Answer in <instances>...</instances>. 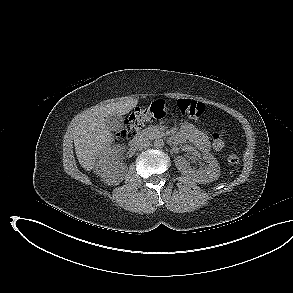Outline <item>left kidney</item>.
<instances>
[{"label": "left kidney", "instance_id": "left-kidney-1", "mask_svg": "<svg viewBox=\"0 0 293 293\" xmlns=\"http://www.w3.org/2000/svg\"><path fill=\"white\" fill-rule=\"evenodd\" d=\"M202 158L206 165L198 170L191 168L188 161L182 156L176 157L175 165L183 175L195 182L206 184L217 180L220 176V167L216 158L211 154H203Z\"/></svg>", "mask_w": 293, "mask_h": 293}]
</instances>
